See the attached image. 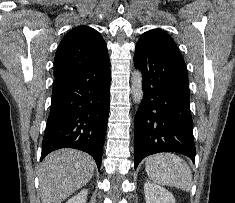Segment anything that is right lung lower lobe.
Segmentation results:
<instances>
[{"label":"right lung lower lobe","instance_id":"1","mask_svg":"<svg viewBox=\"0 0 235 203\" xmlns=\"http://www.w3.org/2000/svg\"><path fill=\"white\" fill-rule=\"evenodd\" d=\"M109 56L71 78L53 84L41 160L60 148L90 154L100 169L110 101Z\"/></svg>","mask_w":235,"mask_h":203}]
</instances>
